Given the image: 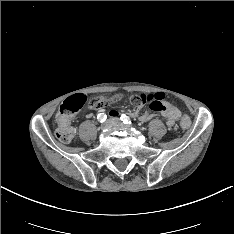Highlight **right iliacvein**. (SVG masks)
I'll use <instances>...</instances> for the list:
<instances>
[{
	"label": "right iliac vein",
	"mask_w": 234,
	"mask_h": 234,
	"mask_svg": "<svg viewBox=\"0 0 234 234\" xmlns=\"http://www.w3.org/2000/svg\"><path fill=\"white\" fill-rule=\"evenodd\" d=\"M110 127H111V122L110 121L105 122L101 126L102 130L109 129Z\"/></svg>",
	"instance_id": "obj_1"
}]
</instances>
